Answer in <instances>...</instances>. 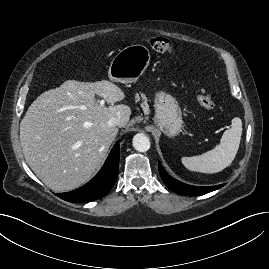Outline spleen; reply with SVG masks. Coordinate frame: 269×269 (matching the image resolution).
<instances>
[{"label":"spleen","instance_id":"3e777b00","mask_svg":"<svg viewBox=\"0 0 269 269\" xmlns=\"http://www.w3.org/2000/svg\"><path fill=\"white\" fill-rule=\"evenodd\" d=\"M241 135L242 121L235 117L232 119L231 127L223 133L219 145L198 156L182 157V163L191 171L210 174L220 172L235 159Z\"/></svg>","mask_w":269,"mask_h":269}]
</instances>
